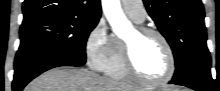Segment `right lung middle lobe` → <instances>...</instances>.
Returning <instances> with one entry per match:
<instances>
[{
  "label": "right lung middle lobe",
  "mask_w": 220,
  "mask_h": 91,
  "mask_svg": "<svg viewBox=\"0 0 220 91\" xmlns=\"http://www.w3.org/2000/svg\"><path fill=\"white\" fill-rule=\"evenodd\" d=\"M99 19L59 15L22 23L18 51L55 48L86 58L85 46Z\"/></svg>",
  "instance_id": "1"
}]
</instances>
